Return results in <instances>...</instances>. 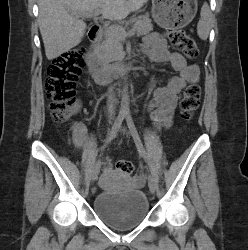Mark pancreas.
<instances>
[{
  "instance_id": "pancreas-1",
  "label": "pancreas",
  "mask_w": 248,
  "mask_h": 250,
  "mask_svg": "<svg viewBox=\"0 0 248 250\" xmlns=\"http://www.w3.org/2000/svg\"><path fill=\"white\" fill-rule=\"evenodd\" d=\"M132 30L140 35H145L153 30V25L149 14L138 16L133 19ZM125 28L120 25L113 26L104 31V40L98 46L99 58L104 62H116L124 57L122 41L125 39L123 35Z\"/></svg>"
}]
</instances>
